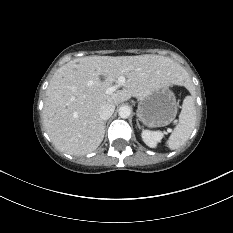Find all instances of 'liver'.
Masks as SVG:
<instances>
[{
    "label": "liver",
    "mask_w": 233,
    "mask_h": 233,
    "mask_svg": "<svg viewBox=\"0 0 233 233\" xmlns=\"http://www.w3.org/2000/svg\"><path fill=\"white\" fill-rule=\"evenodd\" d=\"M120 76L126 78L123 88L106 93ZM185 78L178 63L159 55L74 59L59 68L49 82L44 127L59 151L88 154L104 138L105 124L99 116L102 105H118L131 97L141 99L158 88L181 85Z\"/></svg>",
    "instance_id": "liver-1"
}]
</instances>
